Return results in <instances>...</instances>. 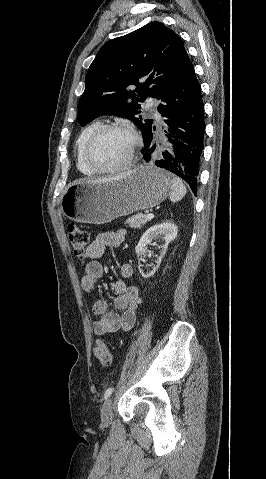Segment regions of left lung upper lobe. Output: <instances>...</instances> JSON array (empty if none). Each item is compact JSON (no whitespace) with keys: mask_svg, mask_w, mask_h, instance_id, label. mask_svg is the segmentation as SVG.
<instances>
[{"mask_svg":"<svg viewBox=\"0 0 266 479\" xmlns=\"http://www.w3.org/2000/svg\"><path fill=\"white\" fill-rule=\"evenodd\" d=\"M190 64L181 38L160 22L108 41L87 72L78 122L85 126L106 114L127 117L145 138L153 120L139 116V102L149 96L162 100Z\"/></svg>","mask_w":266,"mask_h":479,"instance_id":"left-lung-upper-lobe-1","label":"left lung upper lobe"}]
</instances>
